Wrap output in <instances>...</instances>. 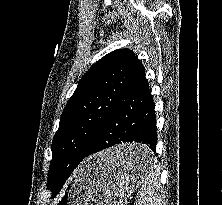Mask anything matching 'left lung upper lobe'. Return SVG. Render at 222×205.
<instances>
[{
  "label": "left lung upper lobe",
  "mask_w": 222,
  "mask_h": 205,
  "mask_svg": "<svg viewBox=\"0 0 222 205\" xmlns=\"http://www.w3.org/2000/svg\"><path fill=\"white\" fill-rule=\"evenodd\" d=\"M141 62L134 52L117 49L95 63L82 77L61 115L52 142L47 187L51 192L64 177L58 162L67 153L85 154L128 86Z\"/></svg>",
  "instance_id": "left-lung-upper-lobe-1"
}]
</instances>
